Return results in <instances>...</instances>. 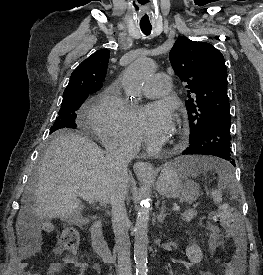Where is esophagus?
<instances>
[{"label": "esophagus", "instance_id": "1", "mask_svg": "<svg viewBox=\"0 0 263 275\" xmlns=\"http://www.w3.org/2000/svg\"><path fill=\"white\" fill-rule=\"evenodd\" d=\"M134 172L138 177H146L153 171V165L149 162H136L133 166Z\"/></svg>", "mask_w": 263, "mask_h": 275}]
</instances>
